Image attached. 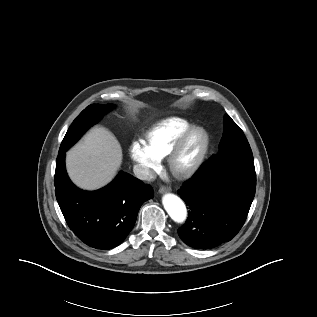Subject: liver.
I'll return each mask as SVG.
<instances>
[{
    "label": "liver",
    "instance_id": "liver-1",
    "mask_svg": "<svg viewBox=\"0 0 317 317\" xmlns=\"http://www.w3.org/2000/svg\"><path fill=\"white\" fill-rule=\"evenodd\" d=\"M121 163V146L116 137L103 127L92 128L66 153L69 177L86 190H96L108 184Z\"/></svg>",
    "mask_w": 317,
    "mask_h": 317
}]
</instances>
